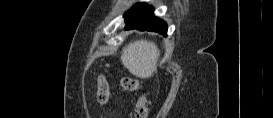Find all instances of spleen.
Here are the masks:
<instances>
[{
    "mask_svg": "<svg viewBox=\"0 0 273 118\" xmlns=\"http://www.w3.org/2000/svg\"><path fill=\"white\" fill-rule=\"evenodd\" d=\"M160 56L155 43L137 40L123 48L121 61L129 72L139 78H149L157 71Z\"/></svg>",
    "mask_w": 273,
    "mask_h": 118,
    "instance_id": "1",
    "label": "spleen"
}]
</instances>
